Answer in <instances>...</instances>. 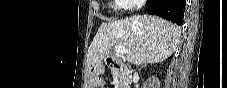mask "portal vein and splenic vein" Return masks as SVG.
Returning a JSON list of instances; mask_svg holds the SVG:
<instances>
[{
    "instance_id": "18ae733b",
    "label": "portal vein and splenic vein",
    "mask_w": 227,
    "mask_h": 88,
    "mask_svg": "<svg viewBox=\"0 0 227 88\" xmlns=\"http://www.w3.org/2000/svg\"><path fill=\"white\" fill-rule=\"evenodd\" d=\"M114 48H115L116 53L119 55H123L127 52V49L125 47H123L122 45H115Z\"/></svg>"
}]
</instances>
